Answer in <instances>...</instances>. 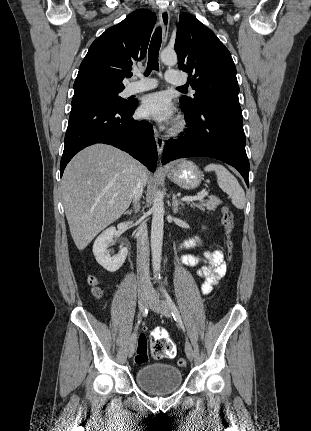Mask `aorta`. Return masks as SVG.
<instances>
[{"label":"aorta","mask_w":311,"mask_h":431,"mask_svg":"<svg viewBox=\"0 0 311 431\" xmlns=\"http://www.w3.org/2000/svg\"><path fill=\"white\" fill-rule=\"evenodd\" d=\"M161 62L166 66H176L177 54L175 50H162L160 54ZM152 223H151V251L152 263L155 273L159 271L161 265V253L163 243V227H164V198L162 192H156L153 200Z\"/></svg>","instance_id":"aorta-1"}]
</instances>
